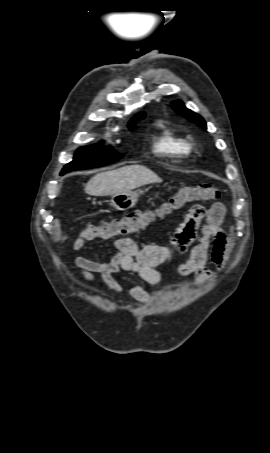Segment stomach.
Here are the masks:
<instances>
[{
	"mask_svg": "<svg viewBox=\"0 0 270 453\" xmlns=\"http://www.w3.org/2000/svg\"><path fill=\"white\" fill-rule=\"evenodd\" d=\"M141 194V191L116 194L111 197L110 204L117 210L125 211L136 205Z\"/></svg>",
	"mask_w": 270,
	"mask_h": 453,
	"instance_id": "obj_1",
	"label": "stomach"
}]
</instances>
